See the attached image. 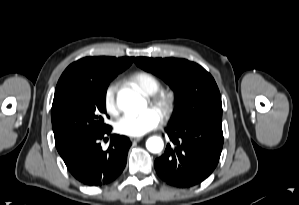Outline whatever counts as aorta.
<instances>
[{
	"label": "aorta",
	"mask_w": 299,
	"mask_h": 205,
	"mask_svg": "<svg viewBox=\"0 0 299 205\" xmlns=\"http://www.w3.org/2000/svg\"><path fill=\"white\" fill-rule=\"evenodd\" d=\"M117 105L124 112H136L144 107L145 102L141 96L130 89L120 90L117 94ZM164 142L158 136H152L146 141V148L151 153L163 150Z\"/></svg>",
	"instance_id": "762f6f07"
}]
</instances>
